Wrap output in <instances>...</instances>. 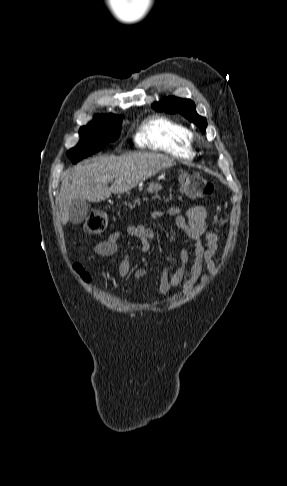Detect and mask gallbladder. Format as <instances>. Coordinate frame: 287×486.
<instances>
[{"instance_id":"1","label":"gallbladder","mask_w":287,"mask_h":486,"mask_svg":"<svg viewBox=\"0 0 287 486\" xmlns=\"http://www.w3.org/2000/svg\"><path fill=\"white\" fill-rule=\"evenodd\" d=\"M89 203L85 199H74L69 208L70 222L74 225L82 223L88 214Z\"/></svg>"}]
</instances>
